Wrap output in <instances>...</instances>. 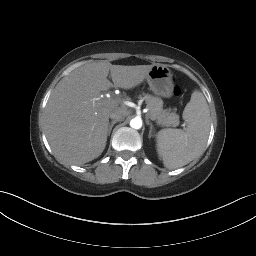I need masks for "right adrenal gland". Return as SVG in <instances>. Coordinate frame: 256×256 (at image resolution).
Instances as JSON below:
<instances>
[{
	"label": "right adrenal gland",
	"mask_w": 256,
	"mask_h": 256,
	"mask_svg": "<svg viewBox=\"0 0 256 256\" xmlns=\"http://www.w3.org/2000/svg\"><path fill=\"white\" fill-rule=\"evenodd\" d=\"M115 123H117L116 120H113L111 123H109V125H108V131H107V136L110 135V133H111V131H112V128H113V126L115 125Z\"/></svg>",
	"instance_id": "2a0ac1e0"
}]
</instances>
